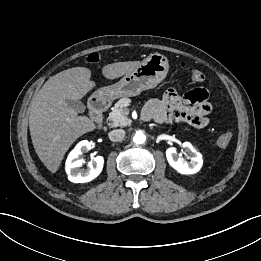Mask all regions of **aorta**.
<instances>
[{"instance_id":"aorta-1","label":"aorta","mask_w":261,"mask_h":261,"mask_svg":"<svg viewBox=\"0 0 261 261\" xmlns=\"http://www.w3.org/2000/svg\"><path fill=\"white\" fill-rule=\"evenodd\" d=\"M146 140V136L142 131H137L133 137V142L135 144H143Z\"/></svg>"}]
</instances>
